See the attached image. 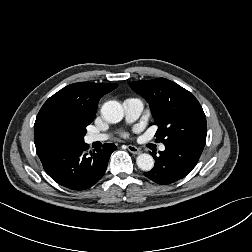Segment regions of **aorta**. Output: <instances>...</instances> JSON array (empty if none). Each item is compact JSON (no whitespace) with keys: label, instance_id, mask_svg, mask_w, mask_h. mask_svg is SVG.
<instances>
[{"label":"aorta","instance_id":"obj_1","mask_svg":"<svg viewBox=\"0 0 252 252\" xmlns=\"http://www.w3.org/2000/svg\"><path fill=\"white\" fill-rule=\"evenodd\" d=\"M101 115L109 123H118L124 117L122 105L117 101H107L101 108ZM137 166L143 171H150L154 167V159L150 154L143 153L136 158Z\"/></svg>","mask_w":252,"mask_h":252}]
</instances>
